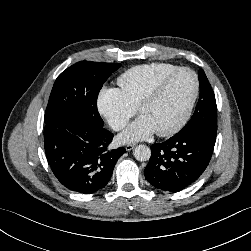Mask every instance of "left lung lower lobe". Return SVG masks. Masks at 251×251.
Instances as JSON below:
<instances>
[{"label": "left lung lower lobe", "instance_id": "left-lung-lower-lobe-1", "mask_svg": "<svg viewBox=\"0 0 251 251\" xmlns=\"http://www.w3.org/2000/svg\"><path fill=\"white\" fill-rule=\"evenodd\" d=\"M216 131L197 127L177 133L151 146L144 170L147 181L167 192L181 191L194 183L206 169L214 149Z\"/></svg>", "mask_w": 251, "mask_h": 251}]
</instances>
